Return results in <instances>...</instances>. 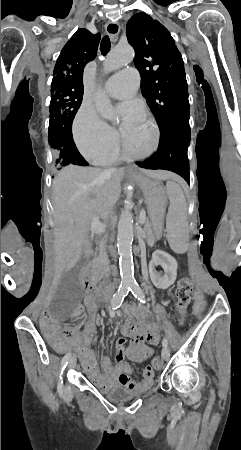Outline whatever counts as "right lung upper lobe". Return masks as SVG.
Returning a JSON list of instances; mask_svg holds the SVG:
<instances>
[{
	"label": "right lung upper lobe",
	"mask_w": 241,
	"mask_h": 450,
	"mask_svg": "<svg viewBox=\"0 0 241 450\" xmlns=\"http://www.w3.org/2000/svg\"><path fill=\"white\" fill-rule=\"evenodd\" d=\"M100 34L79 29L63 47L54 71L52 84H68L83 88V69L96 56Z\"/></svg>",
	"instance_id": "cb5924a9"
}]
</instances>
